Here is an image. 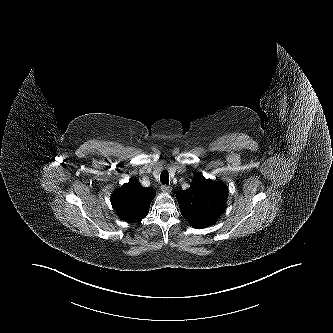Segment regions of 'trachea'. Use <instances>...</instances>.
<instances>
[{
	"instance_id": "obj_1",
	"label": "trachea",
	"mask_w": 333,
	"mask_h": 333,
	"mask_svg": "<svg viewBox=\"0 0 333 333\" xmlns=\"http://www.w3.org/2000/svg\"><path fill=\"white\" fill-rule=\"evenodd\" d=\"M160 181L162 184L169 185V174L168 171L164 170L160 175Z\"/></svg>"
}]
</instances>
